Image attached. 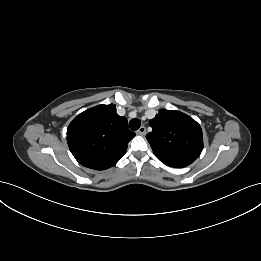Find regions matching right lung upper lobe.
Returning <instances> with one entry per match:
<instances>
[{"mask_svg":"<svg viewBox=\"0 0 261 261\" xmlns=\"http://www.w3.org/2000/svg\"><path fill=\"white\" fill-rule=\"evenodd\" d=\"M134 136L114 104L98 105L80 113L67 129L68 146L75 159L95 170L114 166Z\"/></svg>","mask_w":261,"mask_h":261,"instance_id":"1","label":"right lung upper lobe"}]
</instances>
